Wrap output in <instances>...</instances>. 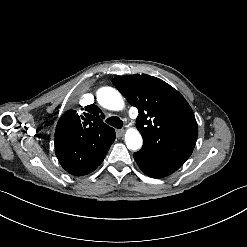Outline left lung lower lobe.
Wrapping results in <instances>:
<instances>
[{
  "label": "left lung lower lobe",
  "mask_w": 247,
  "mask_h": 247,
  "mask_svg": "<svg viewBox=\"0 0 247 247\" xmlns=\"http://www.w3.org/2000/svg\"><path fill=\"white\" fill-rule=\"evenodd\" d=\"M138 166L144 174L151 178L166 177L180 168L182 163L155 153L147 147L133 155Z\"/></svg>",
  "instance_id": "0a47b994"
}]
</instances>
